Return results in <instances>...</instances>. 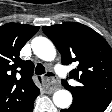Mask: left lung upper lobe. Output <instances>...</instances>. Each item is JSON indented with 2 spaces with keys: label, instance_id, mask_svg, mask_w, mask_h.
Segmentation results:
<instances>
[{
  "label": "left lung upper lobe",
  "instance_id": "left-lung-upper-lobe-1",
  "mask_svg": "<svg viewBox=\"0 0 112 112\" xmlns=\"http://www.w3.org/2000/svg\"><path fill=\"white\" fill-rule=\"evenodd\" d=\"M44 33L61 53L64 65L77 63L69 79L78 81L62 85L73 96V102L108 106L112 99V49L107 41L90 27L72 22L43 26Z\"/></svg>",
  "mask_w": 112,
  "mask_h": 112
}]
</instances>
